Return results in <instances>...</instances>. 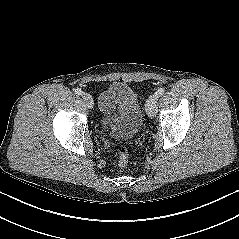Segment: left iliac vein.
<instances>
[{"mask_svg":"<svg viewBox=\"0 0 239 239\" xmlns=\"http://www.w3.org/2000/svg\"><path fill=\"white\" fill-rule=\"evenodd\" d=\"M158 96L156 94L149 97L146 102V113L149 117H154L157 113Z\"/></svg>","mask_w":239,"mask_h":239,"instance_id":"1","label":"left iliac vein"}]
</instances>
